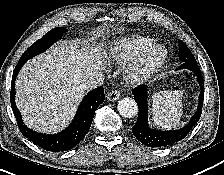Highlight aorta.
Segmentation results:
<instances>
[{
	"instance_id": "obj_1",
	"label": "aorta",
	"mask_w": 224,
	"mask_h": 175,
	"mask_svg": "<svg viewBox=\"0 0 224 175\" xmlns=\"http://www.w3.org/2000/svg\"><path fill=\"white\" fill-rule=\"evenodd\" d=\"M118 111L125 118H131L138 113V106L135 100L123 98L118 102Z\"/></svg>"
}]
</instances>
